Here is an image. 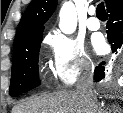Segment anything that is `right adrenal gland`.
I'll return each mask as SVG.
<instances>
[{"label":"right adrenal gland","mask_w":123,"mask_h":113,"mask_svg":"<svg viewBox=\"0 0 123 113\" xmlns=\"http://www.w3.org/2000/svg\"><path fill=\"white\" fill-rule=\"evenodd\" d=\"M115 108V106L111 107ZM109 110V111H108ZM118 110V109H117ZM100 113H111V109L109 107H106L105 105H102V108L100 109Z\"/></svg>","instance_id":"obj_1"}]
</instances>
